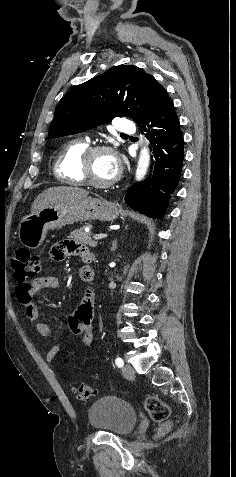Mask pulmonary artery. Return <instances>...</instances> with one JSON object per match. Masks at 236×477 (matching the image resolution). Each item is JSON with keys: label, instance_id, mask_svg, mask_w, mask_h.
<instances>
[{"label": "pulmonary artery", "instance_id": "e3ab8cb5", "mask_svg": "<svg viewBox=\"0 0 236 477\" xmlns=\"http://www.w3.org/2000/svg\"><path fill=\"white\" fill-rule=\"evenodd\" d=\"M115 129L122 134H131L135 132L133 123L124 119L117 120ZM86 141H88V138H86Z\"/></svg>", "mask_w": 236, "mask_h": 477}]
</instances>
